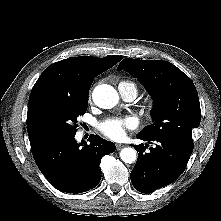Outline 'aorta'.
Wrapping results in <instances>:
<instances>
[{
	"instance_id": "762f6f07",
	"label": "aorta",
	"mask_w": 221,
	"mask_h": 221,
	"mask_svg": "<svg viewBox=\"0 0 221 221\" xmlns=\"http://www.w3.org/2000/svg\"><path fill=\"white\" fill-rule=\"evenodd\" d=\"M92 99L98 107L103 109H110L118 104L119 95L112 86L102 84L94 88ZM120 158L124 163H134L137 159L136 150L131 147L123 148L120 152Z\"/></svg>"
}]
</instances>
